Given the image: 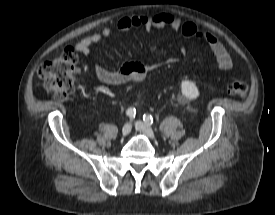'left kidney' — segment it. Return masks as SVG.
Instances as JSON below:
<instances>
[{"instance_id": "1", "label": "left kidney", "mask_w": 275, "mask_h": 215, "mask_svg": "<svg viewBox=\"0 0 275 215\" xmlns=\"http://www.w3.org/2000/svg\"><path fill=\"white\" fill-rule=\"evenodd\" d=\"M182 94L189 99H196L199 96V90L196 84L189 80H184L181 83Z\"/></svg>"}]
</instances>
